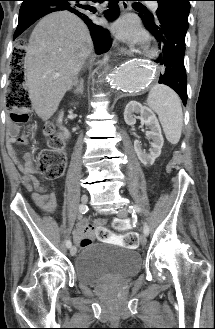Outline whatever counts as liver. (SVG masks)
<instances>
[{"instance_id":"obj_1","label":"liver","mask_w":215,"mask_h":329,"mask_svg":"<svg viewBox=\"0 0 215 329\" xmlns=\"http://www.w3.org/2000/svg\"><path fill=\"white\" fill-rule=\"evenodd\" d=\"M93 49L85 23L68 11L47 15L34 28L24 61L26 86L38 117L48 120ZM56 74H59L57 76Z\"/></svg>"}]
</instances>
